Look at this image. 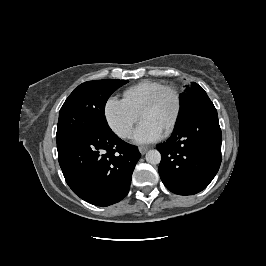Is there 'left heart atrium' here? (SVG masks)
Segmentation results:
<instances>
[{"label":"left heart atrium","instance_id":"obj_1","mask_svg":"<svg viewBox=\"0 0 266 266\" xmlns=\"http://www.w3.org/2000/svg\"><path fill=\"white\" fill-rule=\"evenodd\" d=\"M163 129L149 119H142L137 126L133 138L137 143H150L162 136Z\"/></svg>","mask_w":266,"mask_h":266}]
</instances>
